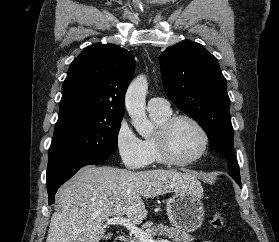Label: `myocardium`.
Segmentation results:
<instances>
[{"label": "myocardium", "mask_w": 279, "mask_h": 242, "mask_svg": "<svg viewBox=\"0 0 279 242\" xmlns=\"http://www.w3.org/2000/svg\"><path fill=\"white\" fill-rule=\"evenodd\" d=\"M179 121H187L194 125L202 137V147L200 151L194 157L187 160L176 158L170 148V133L173 126ZM154 140L162 160L173 166H189L194 164L205 155L209 147V136L204 126L197 119L186 114L170 116L158 127Z\"/></svg>", "instance_id": "myocardium-1"}]
</instances>
